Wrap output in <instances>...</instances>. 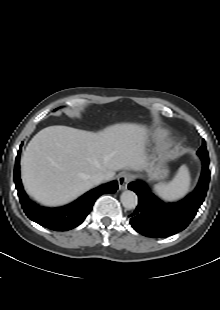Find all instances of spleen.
I'll return each instance as SVG.
<instances>
[{"label":"spleen","mask_w":220,"mask_h":310,"mask_svg":"<svg viewBox=\"0 0 220 310\" xmlns=\"http://www.w3.org/2000/svg\"><path fill=\"white\" fill-rule=\"evenodd\" d=\"M190 174L186 166L180 167L176 176L169 183L156 185V194L164 201L172 202L184 197L190 188Z\"/></svg>","instance_id":"3e777b00"}]
</instances>
